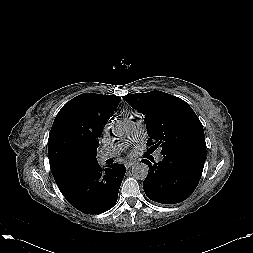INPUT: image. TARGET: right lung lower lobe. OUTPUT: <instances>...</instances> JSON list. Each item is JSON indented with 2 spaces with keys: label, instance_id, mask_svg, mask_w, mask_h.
Masks as SVG:
<instances>
[{
  "label": "right lung lower lobe",
  "instance_id": "1",
  "mask_svg": "<svg viewBox=\"0 0 253 253\" xmlns=\"http://www.w3.org/2000/svg\"><path fill=\"white\" fill-rule=\"evenodd\" d=\"M125 172L122 164L115 163L103 170L95 161L66 175L56 184L76 209L86 214H99L115 205Z\"/></svg>",
  "mask_w": 253,
  "mask_h": 253
}]
</instances>
